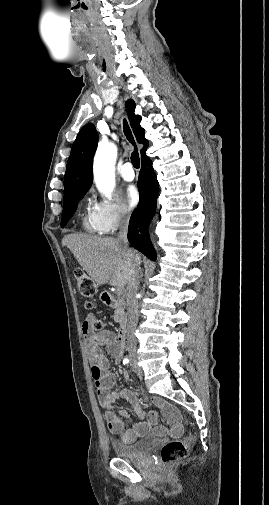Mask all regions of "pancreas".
I'll return each mask as SVG.
<instances>
[{
	"label": "pancreas",
	"mask_w": 269,
	"mask_h": 505,
	"mask_svg": "<svg viewBox=\"0 0 269 505\" xmlns=\"http://www.w3.org/2000/svg\"><path fill=\"white\" fill-rule=\"evenodd\" d=\"M125 312L123 307H117L114 312V321L119 324L125 322Z\"/></svg>",
	"instance_id": "cf45deb5"
}]
</instances>
